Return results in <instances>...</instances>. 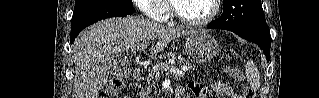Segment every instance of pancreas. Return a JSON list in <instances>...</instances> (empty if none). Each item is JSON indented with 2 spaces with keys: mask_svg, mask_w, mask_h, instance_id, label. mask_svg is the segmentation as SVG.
Here are the masks:
<instances>
[{
  "mask_svg": "<svg viewBox=\"0 0 319 98\" xmlns=\"http://www.w3.org/2000/svg\"><path fill=\"white\" fill-rule=\"evenodd\" d=\"M166 57H173L174 58V53L172 52H167L163 55H160L159 58H166ZM178 61L180 64H182L183 66H187L188 67V70H194L195 69V65H192L188 59H185V58H182V57H178ZM161 65V64H159ZM157 66V65H156ZM163 71L160 72V74L162 73ZM159 74V75H160ZM158 75V76H159ZM156 78V74L154 73L153 69L150 70L147 75H146V78H145V87L144 88H141V91L139 92V96L140 98H147L149 97V94L151 93L152 91V87H153V82Z\"/></svg>",
  "mask_w": 319,
  "mask_h": 98,
  "instance_id": "pancreas-1",
  "label": "pancreas"
}]
</instances>
